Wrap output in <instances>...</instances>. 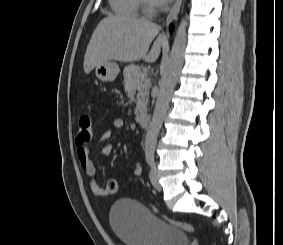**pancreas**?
I'll return each instance as SVG.
<instances>
[{
  "label": "pancreas",
  "mask_w": 283,
  "mask_h": 245,
  "mask_svg": "<svg viewBox=\"0 0 283 245\" xmlns=\"http://www.w3.org/2000/svg\"><path fill=\"white\" fill-rule=\"evenodd\" d=\"M141 74L139 66L134 64L125 67L123 71L125 91H127L128 95H130L133 90L138 91L135 108L136 115L145 110L149 97L150 82L146 78L140 80L139 76Z\"/></svg>",
  "instance_id": "cf45deb5"
}]
</instances>
